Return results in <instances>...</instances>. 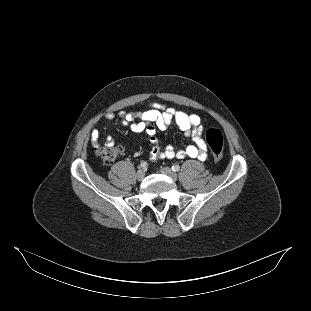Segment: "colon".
Instances as JSON below:
<instances>
[{
	"label": "colon",
	"instance_id": "1",
	"mask_svg": "<svg viewBox=\"0 0 311 311\" xmlns=\"http://www.w3.org/2000/svg\"><path fill=\"white\" fill-rule=\"evenodd\" d=\"M206 142L210 147L215 160H220L223 157V137L220 130L210 128L206 132ZM97 156L105 164H110L116 160L121 154V148L115 145L99 146L96 149Z\"/></svg>",
	"mask_w": 311,
	"mask_h": 311
}]
</instances>
